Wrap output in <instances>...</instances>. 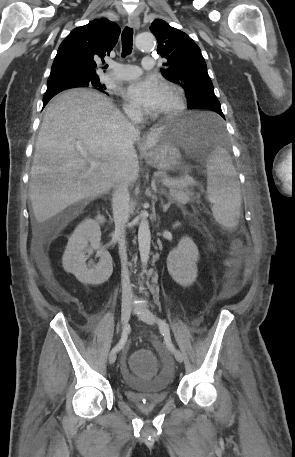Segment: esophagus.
<instances>
[{
    "instance_id": "obj_1",
    "label": "esophagus",
    "mask_w": 295,
    "mask_h": 457,
    "mask_svg": "<svg viewBox=\"0 0 295 457\" xmlns=\"http://www.w3.org/2000/svg\"><path fill=\"white\" fill-rule=\"evenodd\" d=\"M128 25L130 27H133V28H138L139 25H140V19H139V16L136 12L134 13H131L129 16H128Z\"/></svg>"
}]
</instances>
